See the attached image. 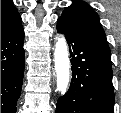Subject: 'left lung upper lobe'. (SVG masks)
<instances>
[{
  "instance_id": "obj_1",
  "label": "left lung upper lobe",
  "mask_w": 121,
  "mask_h": 113,
  "mask_svg": "<svg viewBox=\"0 0 121 113\" xmlns=\"http://www.w3.org/2000/svg\"><path fill=\"white\" fill-rule=\"evenodd\" d=\"M61 18L68 21L83 33L98 40L110 51L104 30L99 21V16L89 5L75 0L64 10Z\"/></svg>"
}]
</instances>
